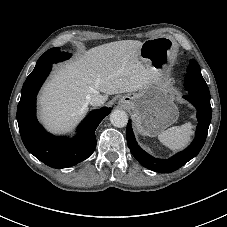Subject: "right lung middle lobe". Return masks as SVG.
I'll use <instances>...</instances> for the list:
<instances>
[{"mask_svg": "<svg viewBox=\"0 0 227 227\" xmlns=\"http://www.w3.org/2000/svg\"><path fill=\"white\" fill-rule=\"evenodd\" d=\"M71 57V54L61 52L60 48H51L46 51L37 61L36 66L31 74L39 71L41 68L51 65L53 63H57L59 61L66 60Z\"/></svg>", "mask_w": 227, "mask_h": 227, "instance_id": "obj_1", "label": "right lung middle lobe"}]
</instances>
